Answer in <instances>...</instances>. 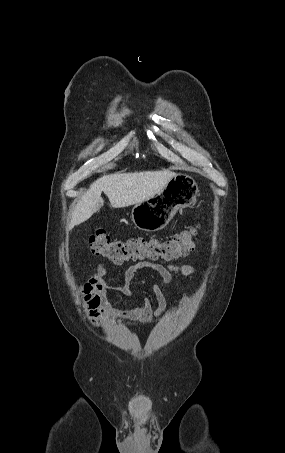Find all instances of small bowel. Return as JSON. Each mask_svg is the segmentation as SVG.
Listing matches in <instances>:
<instances>
[{"label": "small bowel", "mask_w": 285, "mask_h": 453, "mask_svg": "<svg viewBox=\"0 0 285 453\" xmlns=\"http://www.w3.org/2000/svg\"><path fill=\"white\" fill-rule=\"evenodd\" d=\"M144 268L156 271L166 284L171 281L174 273L190 276L195 271L193 266L187 264L178 266L140 261L126 269L122 286L110 287L105 280L107 277L105 269L102 265H98L96 271L88 276L87 282L80 286V291L83 295L84 312L96 327L101 328L104 325L114 323L116 320L150 323L154 318L167 315L170 312H178L186 306L189 301V292L183 295L178 306L171 311L167 310L166 299L161 288L157 284H151V290L157 306L156 310H153L152 303L147 297L143 298L137 307L130 310H119L112 307L107 300L108 290L114 289L123 296H131L134 277L139 270Z\"/></svg>", "instance_id": "obj_1"}]
</instances>
